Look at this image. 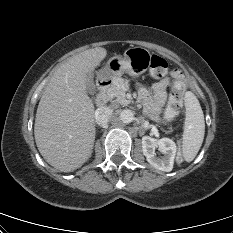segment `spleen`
I'll return each instance as SVG.
<instances>
[{"label":"spleen","instance_id":"3e777b00","mask_svg":"<svg viewBox=\"0 0 233 233\" xmlns=\"http://www.w3.org/2000/svg\"><path fill=\"white\" fill-rule=\"evenodd\" d=\"M186 119L182 141V156L191 162L197 155L205 134L204 114L200 103L192 92L185 95Z\"/></svg>","mask_w":233,"mask_h":233}]
</instances>
